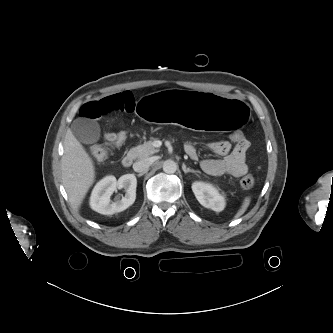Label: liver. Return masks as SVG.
I'll return each instance as SVG.
<instances>
[{
    "label": "liver",
    "instance_id": "1",
    "mask_svg": "<svg viewBox=\"0 0 333 333\" xmlns=\"http://www.w3.org/2000/svg\"><path fill=\"white\" fill-rule=\"evenodd\" d=\"M62 182L71 204L79 208L95 179L94 164L81 143L67 130L61 159Z\"/></svg>",
    "mask_w": 333,
    "mask_h": 333
}]
</instances>
